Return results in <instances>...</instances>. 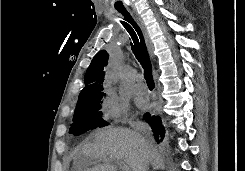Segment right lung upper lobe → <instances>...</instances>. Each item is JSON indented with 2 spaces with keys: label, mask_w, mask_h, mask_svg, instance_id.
<instances>
[{
  "label": "right lung upper lobe",
  "mask_w": 245,
  "mask_h": 171,
  "mask_svg": "<svg viewBox=\"0 0 245 171\" xmlns=\"http://www.w3.org/2000/svg\"><path fill=\"white\" fill-rule=\"evenodd\" d=\"M108 53L105 50L98 52L92 59L90 66L85 74V84L79 95L80 99L90 98L96 95L104 94L103 80L105 72L104 67L107 65Z\"/></svg>",
  "instance_id": "obj_1"
}]
</instances>
